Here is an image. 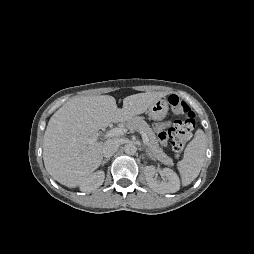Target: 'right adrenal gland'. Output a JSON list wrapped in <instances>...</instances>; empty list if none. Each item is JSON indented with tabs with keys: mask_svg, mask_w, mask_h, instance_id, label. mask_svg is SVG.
<instances>
[{
	"mask_svg": "<svg viewBox=\"0 0 254 254\" xmlns=\"http://www.w3.org/2000/svg\"><path fill=\"white\" fill-rule=\"evenodd\" d=\"M108 161H109V159L107 158V159L103 160L101 164L104 165Z\"/></svg>",
	"mask_w": 254,
	"mask_h": 254,
	"instance_id": "obj_1",
	"label": "right adrenal gland"
}]
</instances>
